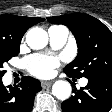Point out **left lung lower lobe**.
Segmentation results:
<instances>
[{"instance_id": "1", "label": "left lung lower lobe", "mask_w": 112, "mask_h": 112, "mask_svg": "<svg viewBox=\"0 0 112 112\" xmlns=\"http://www.w3.org/2000/svg\"><path fill=\"white\" fill-rule=\"evenodd\" d=\"M87 79L86 87L77 90L74 86V95L61 105L63 112H109L111 110L112 76H92Z\"/></svg>"}]
</instances>
